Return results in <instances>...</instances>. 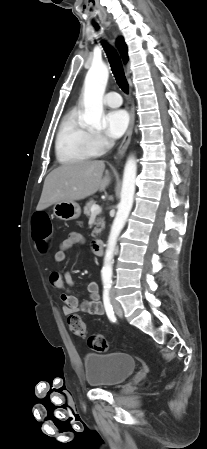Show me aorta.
<instances>
[{
  "label": "aorta",
  "mask_w": 207,
  "mask_h": 449,
  "mask_svg": "<svg viewBox=\"0 0 207 449\" xmlns=\"http://www.w3.org/2000/svg\"><path fill=\"white\" fill-rule=\"evenodd\" d=\"M109 77L108 67L104 63L92 64L84 81L83 102L85 111L82 123L85 126L101 129L103 115V95ZM137 163L134 157H130L125 165L121 189V200L117 207V213L113 221L105 251L104 265L101 270V278L104 284L112 282L113 257L118 236L123 229L133 206Z\"/></svg>",
  "instance_id": "762f6f07"
}]
</instances>
